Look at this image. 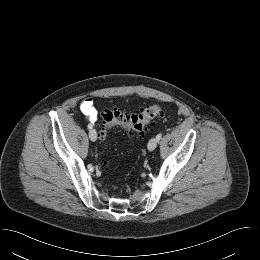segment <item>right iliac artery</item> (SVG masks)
<instances>
[{"instance_id":"obj_1","label":"right iliac artery","mask_w":260,"mask_h":260,"mask_svg":"<svg viewBox=\"0 0 260 260\" xmlns=\"http://www.w3.org/2000/svg\"><path fill=\"white\" fill-rule=\"evenodd\" d=\"M88 128H89V129H92V125H91V124H88Z\"/></svg>"}]
</instances>
